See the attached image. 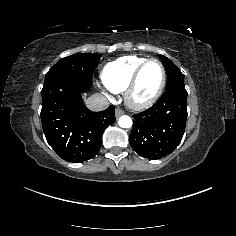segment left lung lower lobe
Segmentation results:
<instances>
[{"mask_svg": "<svg viewBox=\"0 0 236 236\" xmlns=\"http://www.w3.org/2000/svg\"><path fill=\"white\" fill-rule=\"evenodd\" d=\"M186 102L185 86H172L151 108L133 116L129 142L139 156L156 160L176 149L185 131Z\"/></svg>", "mask_w": 236, "mask_h": 236, "instance_id": "1", "label": "left lung lower lobe"}]
</instances>
